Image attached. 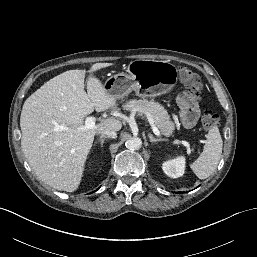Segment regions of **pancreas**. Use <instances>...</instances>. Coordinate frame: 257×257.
I'll return each mask as SVG.
<instances>
[{"label": "pancreas", "instance_id": "1", "mask_svg": "<svg viewBox=\"0 0 257 257\" xmlns=\"http://www.w3.org/2000/svg\"><path fill=\"white\" fill-rule=\"evenodd\" d=\"M124 108L141 117L144 115L149 116L162 134L165 136L172 135L175 124L170 120L167 111L159 103L146 99L130 100Z\"/></svg>", "mask_w": 257, "mask_h": 257}]
</instances>
